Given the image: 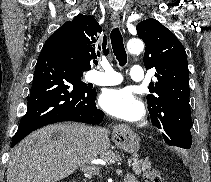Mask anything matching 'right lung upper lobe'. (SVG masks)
Returning a JSON list of instances; mask_svg holds the SVG:
<instances>
[{
  "mask_svg": "<svg viewBox=\"0 0 211 182\" xmlns=\"http://www.w3.org/2000/svg\"><path fill=\"white\" fill-rule=\"evenodd\" d=\"M59 29H63L66 34L71 36L77 47V55L83 70L91 69L90 62L96 57L95 43L98 40V33L102 31L101 26L90 15H77L72 21L66 22ZM106 36L103 38V52L108 54L106 49Z\"/></svg>",
  "mask_w": 211,
  "mask_h": 182,
  "instance_id": "right-lung-upper-lobe-1",
  "label": "right lung upper lobe"
}]
</instances>
